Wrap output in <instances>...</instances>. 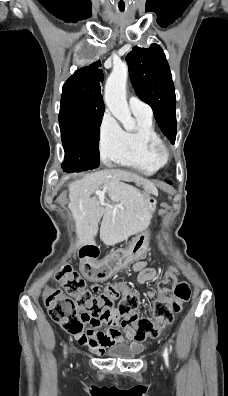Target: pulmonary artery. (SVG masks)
<instances>
[{
	"label": "pulmonary artery",
	"mask_w": 228,
	"mask_h": 396,
	"mask_svg": "<svg viewBox=\"0 0 228 396\" xmlns=\"http://www.w3.org/2000/svg\"><path fill=\"white\" fill-rule=\"evenodd\" d=\"M128 103L133 114L152 116L151 107L145 102H143L141 99H139L138 97L130 96Z\"/></svg>",
	"instance_id": "obj_1"
}]
</instances>
